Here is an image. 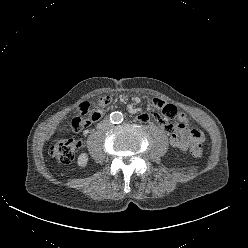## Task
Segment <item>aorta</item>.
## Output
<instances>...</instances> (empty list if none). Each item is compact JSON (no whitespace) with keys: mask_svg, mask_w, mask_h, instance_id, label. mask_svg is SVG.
<instances>
[{"mask_svg":"<svg viewBox=\"0 0 248 248\" xmlns=\"http://www.w3.org/2000/svg\"><path fill=\"white\" fill-rule=\"evenodd\" d=\"M110 120L113 123H120L123 121V114L121 112H112L110 115Z\"/></svg>","mask_w":248,"mask_h":248,"instance_id":"obj_1","label":"aorta"}]
</instances>
